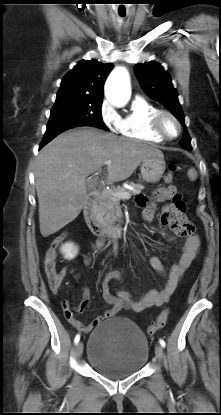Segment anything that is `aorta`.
Masks as SVG:
<instances>
[{
	"label": "aorta",
	"instance_id": "obj_1",
	"mask_svg": "<svg viewBox=\"0 0 221 415\" xmlns=\"http://www.w3.org/2000/svg\"><path fill=\"white\" fill-rule=\"evenodd\" d=\"M105 96L116 107H124L131 97L130 77L126 68L116 67L105 84Z\"/></svg>",
	"mask_w": 221,
	"mask_h": 415
}]
</instances>
